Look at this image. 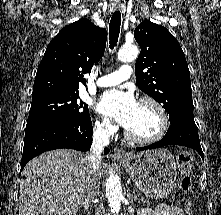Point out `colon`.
Instances as JSON below:
<instances>
[{
  "mask_svg": "<svg viewBox=\"0 0 221 215\" xmlns=\"http://www.w3.org/2000/svg\"><path fill=\"white\" fill-rule=\"evenodd\" d=\"M178 165L183 174L181 180V189L185 192H188L192 189L193 182L191 177V166H192V155L188 152H182L178 156ZM182 206L188 212H191L193 209V202L191 199L186 198L182 202Z\"/></svg>",
  "mask_w": 221,
  "mask_h": 215,
  "instance_id": "5ec220e1",
  "label": "colon"
}]
</instances>
